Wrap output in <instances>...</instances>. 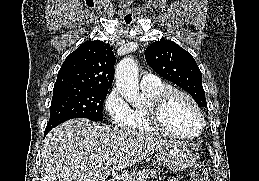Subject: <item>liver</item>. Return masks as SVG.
Here are the masks:
<instances>
[{
	"label": "liver",
	"instance_id": "obj_1",
	"mask_svg": "<svg viewBox=\"0 0 259 181\" xmlns=\"http://www.w3.org/2000/svg\"><path fill=\"white\" fill-rule=\"evenodd\" d=\"M173 142L79 118L50 131L41 153V181H105Z\"/></svg>",
	"mask_w": 259,
	"mask_h": 181
}]
</instances>
